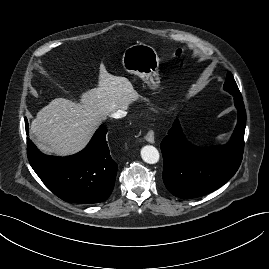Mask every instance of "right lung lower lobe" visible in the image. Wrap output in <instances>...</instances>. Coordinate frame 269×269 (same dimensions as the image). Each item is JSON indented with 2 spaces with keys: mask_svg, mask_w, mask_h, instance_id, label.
<instances>
[{
  "mask_svg": "<svg viewBox=\"0 0 269 269\" xmlns=\"http://www.w3.org/2000/svg\"><path fill=\"white\" fill-rule=\"evenodd\" d=\"M28 134V121L25 118ZM107 128L101 126L86 148L69 157L42 154L27 141L30 165L56 196L69 203L92 204L105 201L111 194L118 165L110 156L106 142Z\"/></svg>",
  "mask_w": 269,
  "mask_h": 269,
  "instance_id": "obj_1",
  "label": "right lung lower lobe"
}]
</instances>
